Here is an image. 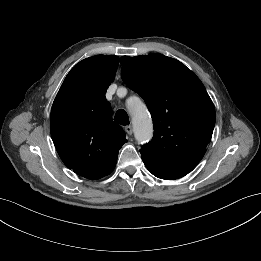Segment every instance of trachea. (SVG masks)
I'll use <instances>...</instances> for the list:
<instances>
[{"instance_id":"trachea-1","label":"trachea","mask_w":261,"mask_h":261,"mask_svg":"<svg viewBox=\"0 0 261 261\" xmlns=\"http://www.w3.org/2000/svg\"><path fill=\"white\" fill-rule=\"evenodd\" d=\"M114 121L120 125H128L130 123L128 114L123 109H120L116 112Z\"/></svg>"}]
</instances>
